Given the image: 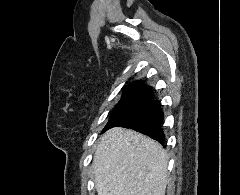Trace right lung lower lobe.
Returning a JSON list of instances; mask_svg holds the SVG:
<instances>
[{"instance_id": "1", "label": "right lung lower lobe", "mask_w": 240, "mask_h": 195, "mask_svg": "<svg viewBox=\"0 0 240 195\" xmlns=\"http://www.w3.org/2000/svg\"><path fill=\"white\" fill-rule=\"evenodd\" d=\"M163 119L164 115L160 110V104L158 101L153 100L151 92L141 107L130 113L112 127L122 126L125 128H131L163 143L165 139L161 127Z\"/></svg>"}]
</instances>
